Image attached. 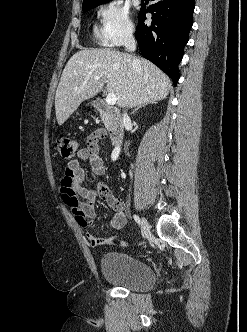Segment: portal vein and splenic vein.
<instances>
[{"label":"portal vein and splenic vein","instance_id":"portal-vein-and-splenic-vein-1","mask_svg":"<svg viewBox=\"0 0 247 332\" xmlns=\"http://www.w3.org/2000/svg\"><path fill=\"white\" fill-rule=\"evenodd\" d=\"M97 81H99V78H95ZM117 101V97L114 93H108L106 97V103L109 105H115Z\"/></svg>","mask_w":247,"mask_h":332}]
</instances>
